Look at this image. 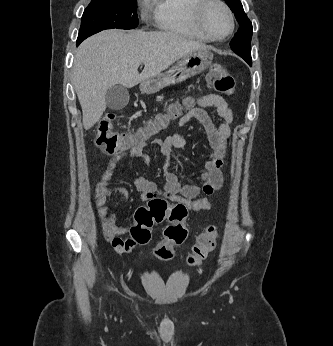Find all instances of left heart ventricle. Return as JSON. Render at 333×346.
<instances>
[{"label": "left heart ventricle", "mask_w": 333, "mask_h": 346, "mask_svg": "<svg viewBox=\"0 0 333 346\" xmlns=\"http://www.w3.org/2000/svg\"><path fill=\"white\" fill-rule=\"evenodd\" d=\"M206 25L215 36H223L230 29V21L219 5H212L206 12Z\"/></svg>", "instance_id": "b2bd125f"}]
</instances>
